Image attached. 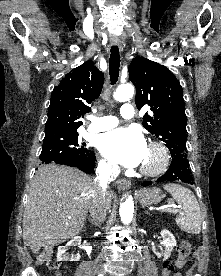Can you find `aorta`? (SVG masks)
Instances as JSON below:
<instances>
[{
  "label": "aorta",
  "instance_id": "762f6f07",
  "mask_svg": "<svg viewBox=\"0 0 221 276\" xmlns=\"http://www.w3.org/2000/svg\"><path fill=\"white\" fill-rule=\"evenodd\" d=\"M134 91V87L131 84L121 85L116 89L114 99L119 102L128 101L134 96ZM119 212L121 221L124 224H129L132 221L134 203L131 196L121 203Z\"/></svg>",
  "mask_w": 221,
  "mask_h": 276
}]
</instances>
